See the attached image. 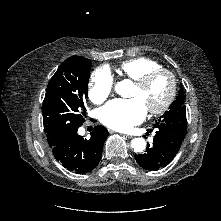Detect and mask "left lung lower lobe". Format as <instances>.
Masks as SVG:
<instances>
[{"instance_id":"1","label":"left lung lower lobe","mask_w":221,"mask_h":221,"mask_svg":"<svg viewBox=\"0 0 221 221\" xmlns=\"http://www.w3.org/2000/svg\"><path fill=\"white\" fill-rule=\"evenodd\" d=\"M153 144H147L145 153L135 155L137 163L146 170H159L168 165L177 154L186 134L166 124L155 126Z\"/></svg>"}]
</instances>
